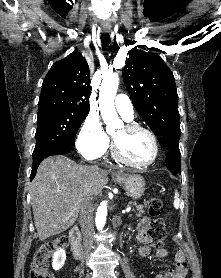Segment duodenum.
Segmentation results:
<instances>
[{
	"mask_svg": "<svg viewBox=\"0 0 221 278\" xmlns=\"http://www.w3.org/2000/svg\"><path fill=\"white\" fill-rule=\"evenodd\" d=\"M69 238L71 241V251L75 258H79L82 248H81V233L79 228L74 227L71 229Z\"/></svg>",
	"mask_w": 221,
	"mask_h": 278,
	"instance_id": "duodenum-1",
	"label": "duodenum"
}]
</instances>
